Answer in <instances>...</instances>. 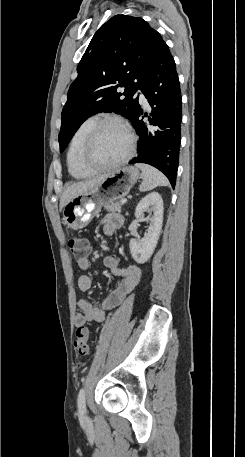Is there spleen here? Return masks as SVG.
Instances as JSON below:
<instances>
[{"instance_id":"obj_1","label":"spleen","mask_w":245,"mask_h":457,"mask_svg":"<svg viewBox=\"0 0 245 457\" xmlns=\"http://www.w3.org/2000/svg\"><path fill=\"white\" fill-rule=\"evenodd\" d=\"M136 166L142 170L143 180L139 186V190H152V188H156V186H167L169 184L168 178L157 170V168H153V166H149V164H141V162H137Z\"/></svg>"}]
</instances>
